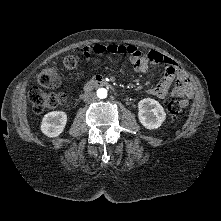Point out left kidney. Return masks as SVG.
I'll list each match as a JSON object with an SVG mask.
<instances>
[{
    "instance_id": "5707ae66",
    "label": "left kidney",
    "mask_w": 221,
    "mask_h": 221,
    "mask_svg": "<svg viewBox=\"0 0 221 221\" xmlns=\"http://www.w3.org/2000/svg\"><path fill=\"white\" fill-rule=\"evenodd\" d=\"M138 118L147 129H158L166 119V113L161 104L151 98H145L138 103Z\"/></svg>"
}]
</instances>
